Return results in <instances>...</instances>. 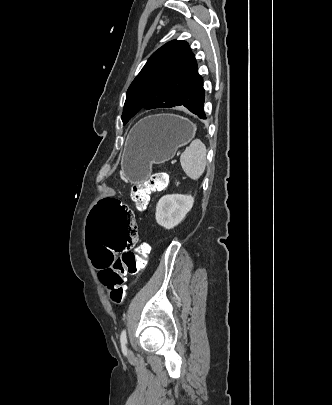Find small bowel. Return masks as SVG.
I'll use <instances>...</instances> for the list:
<instances>
[{
  "label": "small bowel",
  "instance_id": "obj_1",
  "mask_svg": "<svg viewBox=\"0 0 332 405\" xmlns=\"http://www.w3.org/2000/svg\"><path fill=\"white\" fill-rule=\"evenodd\" d=\"M135 223H136V226L135 227H137V222H136V219H135ZM134 244H136V243H134ZM117 257H114V259H116Z\"/></svg>",
  "mask_w": 332,
  "mask_h": 405
}]
</instances>
